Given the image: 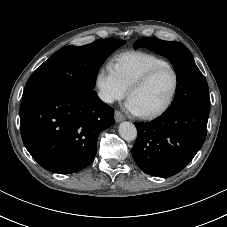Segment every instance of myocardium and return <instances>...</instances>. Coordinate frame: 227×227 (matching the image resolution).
<instances>
[{
	"mask_svg": "<svg viewBox=\"0 0 227 227\" xmlns=\"http://www.w3.org/2000/svg\"><path fill=\"white\" fill-rule=\"evenodd\" d=\"M164 69L170 70L174 76V86H173L172 92H171L168 100L160 108H158L154 111H151V112L140 113L139 115L142 118H145V119L156 118V117L164 114L172 106V104L177 96L178 90H179V85H180L179 74H178L177 70L170 64L157 66L155 68H152L148 72H146L144 75H142L139 79H137L128 88V96L130 98V96L132 95V93L134 91L145 86L157 73H159L160 71H162Z\"/></svg>",
	"mask_w": 227,
	"mask_h": 227,
	"instance_id": "obj_1",
	"label": "myocardium"
}]
</instances>
